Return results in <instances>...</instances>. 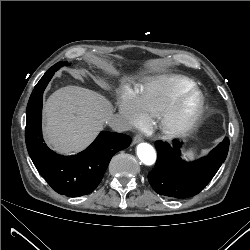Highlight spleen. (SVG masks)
Returning a JSON list of instances; mask_svg holds the SVG:
<instances>
[{
    "instance_id": "obj_1",
    "label": "spleen",
    "mask_w": 250,
    "mask_h": 250,
    "mask_svg": "<svg viewBox=\"0 0 250 250\" xmlns=\"http://www.w3.org/2000/svg\"><path fill=\"white\" fill-rule=\"evenodd\" d=\"M195 153H196V151H194V150H190V151H188V152H186V154H185V158H193V156L195 155Z\"/></svg>"
}]
</instances>
